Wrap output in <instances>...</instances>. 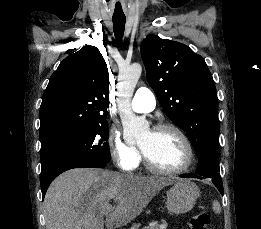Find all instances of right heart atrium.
Listing matches in <instances>:
<instances>
[{"mask_svg":"<svg viewBox=\"0 0 261 229\" xmlns=\"http://www.w3.org/2000/svg\"><path fill=\"white\" fill-rule=\"evenodd\" d=\"M108 146L114 162L122 171L133 172L139 167L141 155L138 149L125 142L118 133L110 131Z\"/></svg>","mask_w":261,"mask_h":229,"instance_id":"d8ad5b80","label":"right heart atrium"}]
</instances>
